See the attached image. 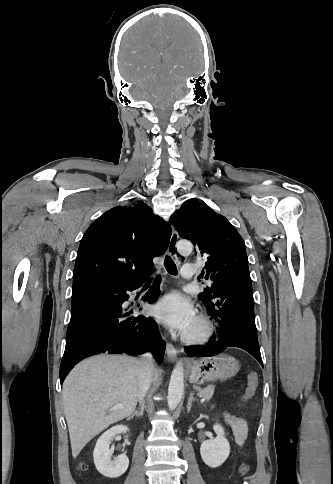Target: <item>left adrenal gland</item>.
Returning <instances> with one entry per match:
<instances>
[{"label": "left adrenal gland", "instance_id": "left-adrenal-gland-1", "mask_svg": "<svg viewBox=\"0 0 333 484\" xmlns=\"http://www.w3.org/2000/svg\"><path fill=\"white\" fill-rule=\"evenodd\" d=\"M196 401V399L193 397V393L190 392L189 398H188V404H187V411L189 412L191 407H192V402Z\"/></svg>", "mask_w": 333, "mask_h": 484}]
</instances>
